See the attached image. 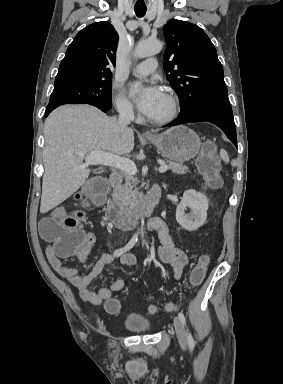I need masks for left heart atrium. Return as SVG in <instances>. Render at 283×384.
I'll use <instances>...</instances> for the list:
<instances>
[{"label": "left heart atrium", "mask_w": 283, "mask_h": 384, "mask_svg": "<svg viewBox=\"0 0 283 384\" xmlns=\"http://www.w3.org/2000/svg\"><path fill=\"white\" fill-rule=\"evenodd\" d=\"M128 91L135 100L138 110L145 116L150 115L164 97L161 87L154 83L145 85L132 83Z\"/></svg>", "instance_id": "obj_1"}]
</instances>
